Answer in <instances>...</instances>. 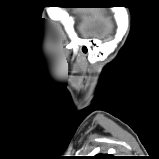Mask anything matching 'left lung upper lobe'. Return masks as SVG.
I'll list each match as a JSON object with an SVG mask.
<instances>
[{"instance_id": "left-lung-upper-lobe-1", "label": "left lung upper lobe", "mask_w": 159, "mask_h": 159, "mask_svg": "<svg viewBox=\"0 0 159 159\" xmlns=\"http://www.w3.org/2000/svg\"><path fill=\"white\" fill-rule=\"evenodd\" d=\"M89 159H116V158L112 155L99 154V155H96V156L89 158Z\"/></svg>"}]
</instances>
